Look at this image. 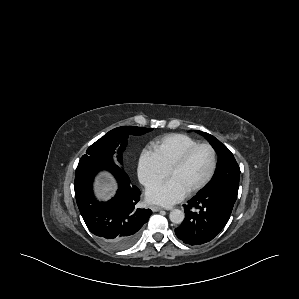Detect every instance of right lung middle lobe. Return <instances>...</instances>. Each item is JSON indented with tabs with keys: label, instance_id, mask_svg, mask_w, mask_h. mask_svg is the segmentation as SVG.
Segmentation results:
<instances>
[{
	"label": "right lung middle lobe",
	"instance_id": "dd1d6c3e",
	"mask_svg": "<svg viewBox=\"0 0 299 299\" xmlns=\"http://www.w3.org/2000/svg\"><path fill=\"white\" fill-rule=\"evenodd\" d=\"M151 130L152 128H142L136 126H122L115 128L93 143L87 149L86 154L81 157L79 164L88 161H101L115 165L112 159L115 151H119V156H117V158L118 161L122 163L121 151H123L127 145L128 136L130 134L142 135Z\"/></svg>",
	"mask_w": 299,
	"mask_h": 299
}]
</instances>
